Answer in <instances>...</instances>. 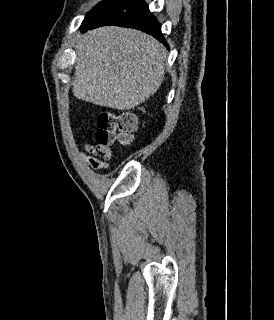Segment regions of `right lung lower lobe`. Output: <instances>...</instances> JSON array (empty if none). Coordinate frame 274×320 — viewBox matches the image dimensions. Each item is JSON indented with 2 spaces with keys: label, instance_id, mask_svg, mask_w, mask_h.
<instances>
[{
  "label": "right lung lower lobe",
  "instance_id": "right-lung-lower-lobe-1",
  "mask_svg": "<svg viewBox=\"0 0 274 320\" xmlns=\"http://www.w3.org/2000/svg\"><path fill=\"white\" fill-rule=\"evenodd\" d=\"M105 25H115L141 30L152 35L168 47L161 34V25L156 18L150 14L148 6L143 0H124L120 5L97 19L95 22L81 27V30L82 32H85L88 29Z\"/></svg>",
  "mask_w": 274,
  "mask_h": 320
}]
</instances>
